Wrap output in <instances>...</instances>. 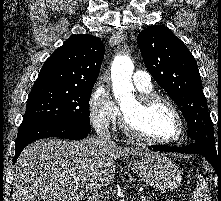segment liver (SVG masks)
Masks as SVG:
<instances>
[{
  "label": "liver",
  "mask_w": 221,
  "mask_h": 201,
  "mask_svg": "<svg viewBox=\"0 0 221 201\" xmlns=\"http://www.w3.org/2000/svg\"><path fill=\"white\" fill-rule=\"evenodd\" d=\"M150 153L94 138L36 141L15 164L13 201H80L86 192L112 182L114 159Z\"/></svg>",
  "instance_id": "6515ba94"
}]
</instances>
